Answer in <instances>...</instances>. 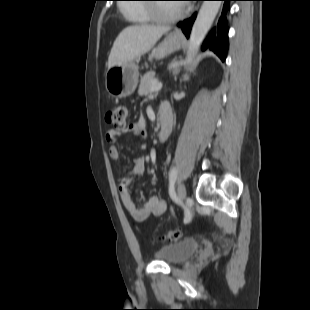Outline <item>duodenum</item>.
Masks as SVG:
<instances>
[{
    "instance_id": "1",
    "label": "duodenum",
    "mask_w": 310,
    "mask_h": 310,
    "mask_svg": "<svg viewBox=\"0 0 310 310\" xmlns=\"http://www.w3.org/2000/svg\"><path fill=\"white\" fill-rule=\"evenodd\" d=\"M159 120H160V130H159V140H166L172 130V115L169 110L160 109L159 110Z\"/></svg>"
}]
</instances>
